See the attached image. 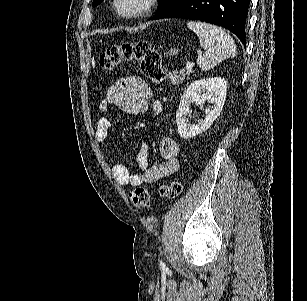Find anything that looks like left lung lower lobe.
<instances>
[{
    "mask_svg": "<svg viewBox=\"0 0 307 301\" xmlns=\"http://www.w3.org/2000/svg\"><path fill=\"white\" fill-rule=\"evenodd\" d=\"M250 0H178L156 19L184 18L224 27L245 45Z\"/></svg>",
    "mask_w": 307,
    "mask_h": 301,
    "instance_id": "1",
    "label": "left lung lower lobe"
}]
</instances>
